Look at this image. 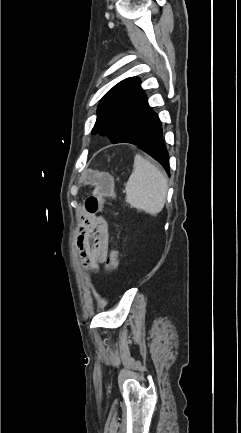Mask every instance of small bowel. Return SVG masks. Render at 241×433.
Returning a JSON list of instances; mask_svg holds the SVG:
<instances>
[{
    "mask_svg": "<svg viewBox=\"0 0 241 433\" xmlns=\"http://www.w3.org/2000/svg\"><path fill=\"white\" fill-rule=\"evenodd\" d=\"M88 199L79 215L76 243L83 267L97 272L108 256V224L104 218L89 210Z\"/></svg>",
    "mask_w": 241,
    "mask_h": 433,
    "instance_id": "small-bowel-1",
    "label": "small bowel"
}]
</instances>
